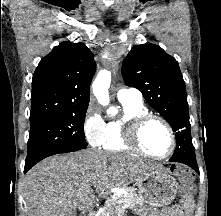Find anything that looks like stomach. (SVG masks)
Wrapping results in <instances>:
<instances>
[{
	"label": "stomach",
	"instance_id": "obj_1",
	"mask_svg": "<svg viewBox=\"0 0 221 216\" xmlns=\"http://www.w3.org/2000/svg\"><path fill=\"white\" fill-rule=\"evenodd\" d=\"M137 185L141 204L152 208L171 204L178 189L175 178L164 167L144 173L137 179Z\"/></svg>",
	"mask_w": 221,
	"mask_h": 216
}]
</instances>
